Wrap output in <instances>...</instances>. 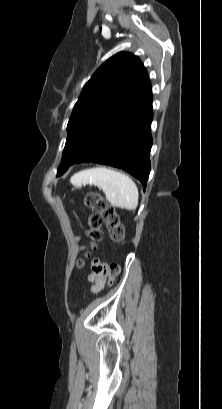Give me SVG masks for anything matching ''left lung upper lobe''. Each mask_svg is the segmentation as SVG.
Segmentation results:
<instances>
[{"label": "left lung upper lobe", "mask_w": 222, "mask_h": 409, "mask_svg": "<svg viewBox=\"0 0 222 409\" xmlns=\"http://www.w3.org/2000/svg\"><path fill=\"white\" fill-rule=\"evenodd\" d=\"M130 99L148 102L152 89L140 59L128 52L101 65L85 84L67 126V140L57 175L80 156L93 137L112 121Z\"/></svg>", "instance_id": "5c2ea615"}]
</instances>
